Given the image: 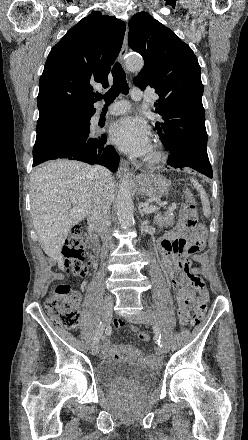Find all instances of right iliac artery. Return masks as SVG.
<instances>
[{
    "instance_id": "1",
    "label": "right iliac artery",
    "mask_w": 248,
    "mask_h": 440,
    "mask_svg": "<svg viewBox=\"0 0 248 440\" xmlns=\"http://www.w3.org/2000/svg\"><path fill=\"white\" fill-rule=\"evenodd\" d=\"M104 327H105L104 324L102 322H100L98 327H97L96 333H95V335L93 337V343L99 342V340H100V338H101V336L103 334Z\"/></svg>"
}]
</instances>
